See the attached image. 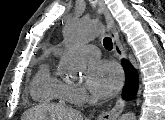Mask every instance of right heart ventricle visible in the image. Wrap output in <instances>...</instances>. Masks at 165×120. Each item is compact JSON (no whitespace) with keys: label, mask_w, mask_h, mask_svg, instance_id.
Here are the masks:
<instances>
[{"label":"right heart ventricle","mask_w":165,"mask_h":120,"mask_svg":"<svg viewBox=\"0 0 165 120\" xmlns=\"http://www.w3.org/2000/svg\"><path fill=\"white\" fill-rule=\"evenodd\" d=\"M53 52V55H56ZM69 85L62 81L51 66V58L44 59L31 84L32 96L40 102H69Z\"/></svg>","instance_id":"obj_1"}]
</instances>
